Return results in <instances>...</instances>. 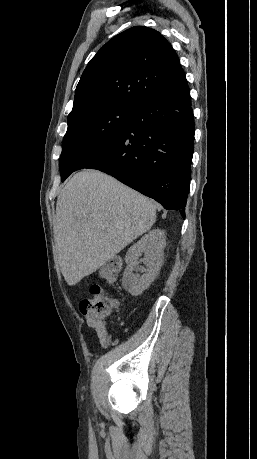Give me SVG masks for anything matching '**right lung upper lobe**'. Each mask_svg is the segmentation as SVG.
Here are the masks:
<instances>
[{
	"instance_id": "right-lung-upper-lobe-1",
	"label": "right lung upper lobe",
	"mask_w": 257,
	"mask_h": 459,
	"mask_svg": "<svg viewBox=\"0 0 257 459\" xmlns=\"http://www.w3.org/2000/svg\"><path fill=\"white\" fill-rule=\"evenodd\" d=\"M184 71L171 44L156 30L132 27L89 61L75 90L68 123L110 107H137L175 84Z\"/></svg>"
}]
</instances>
